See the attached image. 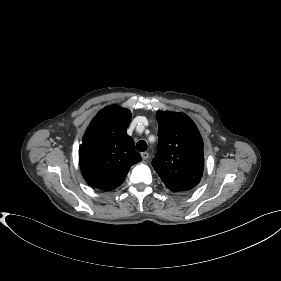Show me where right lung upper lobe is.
<instances>
[{
	"label": "right lung upper lobe",
	"instance_id": "obj_1",
	"mask_svg": "<svg viewBox=\"0 0 281 281\" xmlns=\"http://www.w3.org/2000/svg\"><path fill=\"white\" fill-rule=\"evenodd\" d=\"M131 112L119 106L102 109L92 120L79 149L81 173L94 188L110 191L125 179L130 167L141 161L126 128Z\"/></svg>",
	"mask_w": 281,
	"mask_h": 281
}]
</instances>
